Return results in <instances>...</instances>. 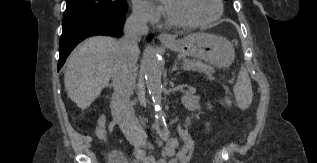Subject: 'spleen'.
Returning a JSON list of instances; mask_svg holds the SVG:
<instances>
[{
    "label": "spleen",
    "instance_id": "1",
    "mask_svg": "<svg viewBox=\"0 0 317 163\" xmlns=\"http://www.w3.org/2000/svg\"><path fill=\"white\" fill-rule=\"evenodd\" d=\"M234 94L237 104L245 109L252 100V87L250 77L244 66L241 67L238 80L234 86Z\"/></svg>",
    "mask_w": 317,
    "mask_h": 163
}]
</instances>
